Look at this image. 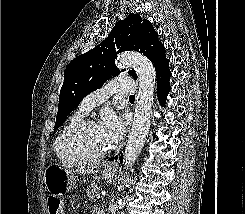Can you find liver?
Instances as JSON below:
<instances>
[{
    "mask_svg": "<svg viewBox=\"0 0 245 214\" xmlns=\"http://www.w3.org/2000/svg\"><path fill=\"white\" fill-rule=\"evenodd\" d=\"M78 172L84 173V174H91V173H96L97 170L94 168H88V169L82 168V169L78 170Z\"/></svg>",
    "mask_w": 245,
    "mask_h": 214,
    "instance_id": "obj_1",
    "label": "liver"
}]
</instances>
